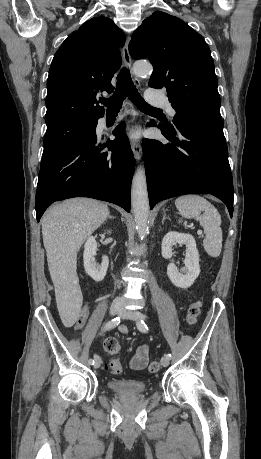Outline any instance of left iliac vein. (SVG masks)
<instances>
[{"instance_id":"1","label":"left iliac vein","mask_w":261,"mask_h":459,"mask_svg":"<svg viewBox=\"0 0 261 459\" xmlns=\"http://www.w3.org/2000/svg\"><path fill=\"white\" fill-rule=\"evenodd\" d=\"M119 315L123 318V319H130V320H134V321H141L142 319H145L146 316L143 315L142 313L138 312V311H132V310H128V309H125L123 308L122 311L119 313ZM161 365L163 367H167L169 365V358L167 356H164L161 358Z\"/></svg>"}]
</instances>
